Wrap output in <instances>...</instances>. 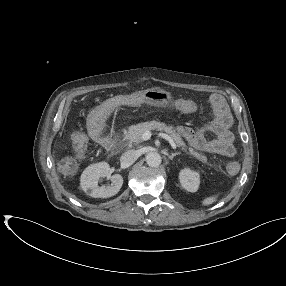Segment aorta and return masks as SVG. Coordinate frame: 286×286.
Segmentation results:
<instances>
[{
    "mask_svg": "<svg viewBox=\"0 0 286 286\" xmlns=\"http://www.w3.org/2000/svg\"><path fill=\"white\" fill-rule=\"evenodd\" d=\"M161 161V156L157 152H150L146 156V162L150 167H158Z\"/></svg>",
    "mask_w": 286,
    "mask_h": 286,
    "instance_id": "aorta-1",
    "label": "aorta"
}]
</instances>
